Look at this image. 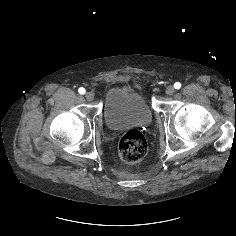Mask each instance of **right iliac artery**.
Returning <instances> with one entry per match:
<instances>
[{"instance_id": "right-iliac-artery-1", "label": "right iliac artery", "mask_w": 236, "mask_h": 236, "mask_svg": "<svg viewBox=\"0 0 236 236\" xmlns=\"http://www.w3.org/2000/svg\"><path fill=\"white\" fill-rule=\"evenodd\" d=\"M78 92H79L80 94H85L86 91H85L84 88L81 87V88L78 89Z\"/></svg>"}]
</instances>
